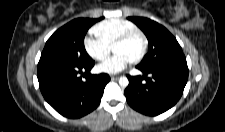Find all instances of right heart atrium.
<instances>
[{
	"label": "right heart atrium",
	"mask_w": 225,
	"mask_h": 132,
	"mask_svg": "<svg viewBox=\"0 0 225 132\" xmlns=\"http://www.w3.org/2000/svg\"><path fill=\"white\" fill-rule=\"evenodd\" d=\"M84 49L86 53L96 61L106 60L110 53L111 48L104 44L99 38L92 35H87L84 39Z\"/></svg>",
	"instance_id": "right-heart-atrium-1"
}]
</instances>
